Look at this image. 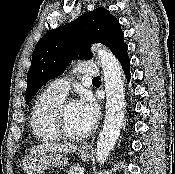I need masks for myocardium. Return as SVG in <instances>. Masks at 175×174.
<instances>
[{
  "label": "myocardium",
  "instance_id": "myocardium-1",
  "mask_svg": "<svg viewBox=\"0 0 175 174\" xmlns=\"http://www.w3.org/2000/svg\"><path fill=\"white\" fill-rule=\"evenodd\" d=\"M72 103H77V101L75 99L68 98V99H63L57 105L53 113V119H52L53 126L56 132L58 133V135L62 139L71 140V141L81 140V139L88 137L92 133L94 127L91 126L88 130L80 134H73L67 130L65 126V122H64V115H65L66 108L68 107V105Z\"/></svg>",
  "mask_w": 175,
  "mask_h": 174
}]
</instances>
